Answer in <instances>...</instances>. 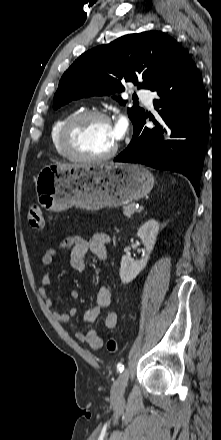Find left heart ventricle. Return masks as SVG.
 I'll return each instance as SVG.
<instances>
[{
  "label": "left heart ventricle",
  "mask_w": 221,
  "mask_h": 440,
  "mask_svg": "<svg viewBox=\"0 0 221 440\" xmlns=\"http://www.w3.org/2000/svg\"><path fill=\"white\" fill-rule=\"evenodd\" d=\"M72 141L79 152L98 156L108 152L117 140L111 123L100 118H87L76 127Z\"/></svg>",
  "instance_id": "1"
}]
</instances>
